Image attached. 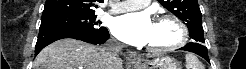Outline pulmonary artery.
Returning a JSON list of instances; mask_svg holds the SVG:
<instances>
[{
    "label": "pulmonary artery",
    "instance_id": "e3ab8cb5",
    "mask_svg": "<svg viewBox=\"0 0 246 69\" xmlns=\"http://www.w3.org/2000/svg\"><path fill=\"white\" fill-rule=\"evenodd\" d=\"M148 0H128L117 4L111 11L110 14H117L131 10H137L148 4Z\"/></svg>",
    "mask_w": 246,
    "mask_h": 69
}]
</instances>
